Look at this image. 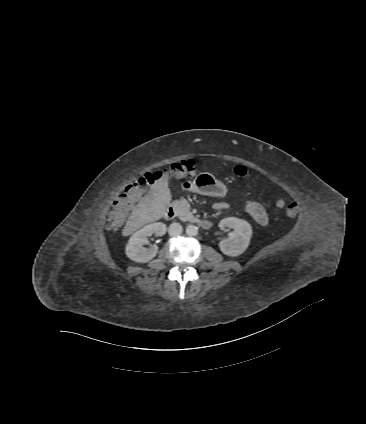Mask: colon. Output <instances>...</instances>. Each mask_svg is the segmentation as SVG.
I'll return each instance as SVG.
<instances>
[{"label":"colon","instance_id":"1","mask_svg":"<svg viewBox=\"0 0 366 424\" xmlns=\"http://www.w3.org/2000/svg\"><path fill=\"white\" fill-rule=\"evenodd\" d=\"M195 169L196 167L194 162L189 160L175 163L166 169L165 172L174 177L182 178L192 175L195 172ZM234 173L239 177H244L247 175V169L242 165H238L234 168ZM162 175V171L147 172L128 185L125 188L124 193L121 194L114 202L112 209L108 214L106 226L109 229L118 228L123 223L125 214L131 204L147 187L157 182ZM275 204L281 214L287 218L295 217L298 212V205L296 203L286 204L284 199L281 197L276 199Z\"/></svg>","mask_w":366,"mask_h":424}]
</instances>
